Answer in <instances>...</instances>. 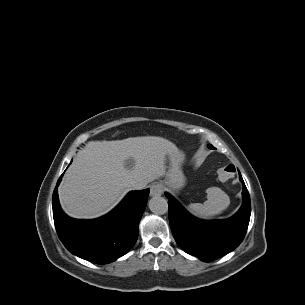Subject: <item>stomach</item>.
Segmentation results:
<instances>
[{"label":"stomach","instance_id":"stomach-1","mask_svg":"<svg viewBox=\"0 0 305 305\" xmlns=\"http://www.w3.org/2000/svg\"><path fill=\"white\" fill-rule=\"evenodd\" d=\"M169 170L162 185L165 190L178 192L186 183V178L182 172L181 166L185 160V154L176 150L168 154Z\"/></svg>","mask_w":305,"mask_h":305}]
</instances>
